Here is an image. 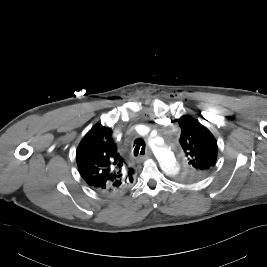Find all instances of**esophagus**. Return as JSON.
Segmentation results:
<instances>
[{"instance_id":"obj_1","label":"esophagus","mask_w":267,"mask_h":267,"mask_svg":"<svg viewBox=\"0 0 267 267\" xmlns=\"http://www.w3.org/2000/svg\"><path fill=\"white\" fill-rule=\"evenodd\" d=\"M148 158H149V156L147 154L139 157L140 160H146Z\"/></svg>"}]
</instances>
